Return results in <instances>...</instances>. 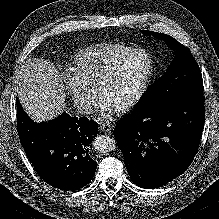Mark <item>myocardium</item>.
<instances>
[{
  "mask_svg": "<svg viewBox=\"0 0 219 219\" xmlns=\"http://www.w3.org/2000/svg\"><path fill=\"white\" fill-rule=\"evenodd\" d=\"M137 54H144L148 60H149V68L144 76V79L135 93V95L126 103L114 107V110L118 113H126L130 110H132L134 107H136L140 101L143 99L145 96L151 81L152 77L155 72V61L152 56V54L143 48H133L129 52L125 53L124 55L120 56L117 60H115L110 67L104 72V74L101 76L98 85H97V91L98 94L101 96L103 89L105 86L110 82V80L113 78V76L117 73L118 69L120 66L129 58L137 55Z\"/></svg>",
  "mask_w": 219,
  "mask_h": 219,
  "instance_id": "myocardium-1",
  "label": "myocardium"
}]
</instances>
